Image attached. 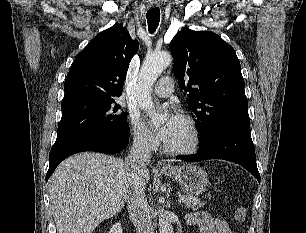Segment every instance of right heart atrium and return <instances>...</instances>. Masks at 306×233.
<instances>
[{"instance_id": "right-heart-atrium-1", "label": "right heart atrium", "mask_w": 306, "mask_h": 233, "mask_svg": "<svg viewBox=\"0 0 306 233\" xmlns=\"http://www.w3.org/2000/svg\"><path fill=\"white\" fill-rule=\"evenodd\" d=\"M133 144L143 150H150L155 147L156 140L152 133L141 121L137 114H131L129 118Z\"/></svg>"}]
</instances>
